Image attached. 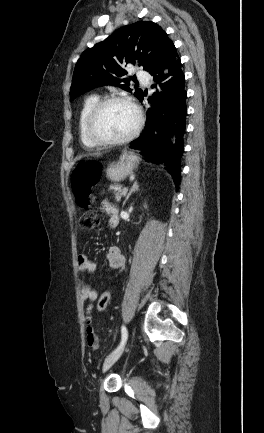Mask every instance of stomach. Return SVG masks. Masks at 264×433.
I'll return each instance as SVG.
<instances>
[{"label":"stomach","mask_w":264,"mask_h":433,"mask_svg":"<svg viewBox=\"0 0 264 433\" xmlns=\"http://www.w3.org/2000/svg\"><path fill=\"white\" fill-rule=\"evenodd\" d=\"M139 158L130 151H123L119 160L108 165L106 177L112 182H121L133 173Z\"/></svg>","instance_id":"1"}]
</instances>
